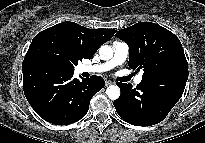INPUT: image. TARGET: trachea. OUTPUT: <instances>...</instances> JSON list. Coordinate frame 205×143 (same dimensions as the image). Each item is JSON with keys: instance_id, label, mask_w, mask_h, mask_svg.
<instances>
[{"instance_id": "1", "label": "trachea", "mask_w": 205, "mask_h": 143, "mask_svg": "<svg viewBox=\"0 0 205 143\" xmlns=\"http://www.w3.org/2000/svg\"><path fill=\"white\" fill-rule=\"evenodd\" d=\"M131 78H132V75H129V76H127V77L121 78L120 80H122V81H128V80H130Z\"/></svg>"}]
</instances>
